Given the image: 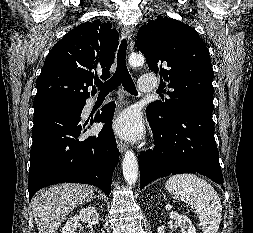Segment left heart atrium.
<instances>
[{
	"instance_id": "left-heart-atrium-1",
	"label": "left heart atrium",
	"mask_w": 253,
	"mask_h": 233,
	"mask_svg": "<svg viewBox=\"0 0 253 233\" xmlns=\"http://www.w3.org/2000/svg\"><path fill=\"white\" fill-rule=\"evenodd\" d=\"M115 131L128 139H137L143 133V125L139 114L133 110L123 112L116 120Z\"/></svg>"
}]
</instances>
